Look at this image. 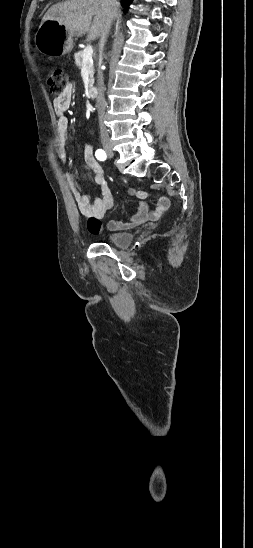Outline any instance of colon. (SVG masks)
I'll return each mask as SVG.
<instances>
[{
	"instance_id": "colon-1",
	"label": "colon",
	"mask_w": 253,
	"mask_h": 548,
	"mask_svg": "<svg viewBox=\"0 0 253 548\" xmlns=\"http://www.w3.org/2000/svg\"><path fill=\"white\" fill-rule=\"evenodd\" d=\"M47 84L50 92L59 95L68 85V78L61 68H53L47 76Z\"/></svg>"
}]
</instances>
